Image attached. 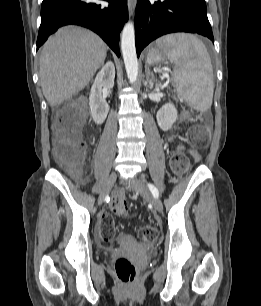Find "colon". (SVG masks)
Masks as SVG:
<instances>
[{"instance_id": "obj_1", "label": "colon", "mask_w": 261, "mask_h": 306, "mask_svg": "<svg viewBox=\"0 0 261 306\" xmlns=\"http://www.w3.org/2000/svg\"><path fill=\"white\" fill-rule=\"evenodd\" d=\"M85 120L82 107L77 104L63 106L54 119V154L58 163L75 175L82 172V164L85 156V143L82 140L81 129ZM189 143L196 149H204L210 140V131L206 124H196L188 130ZM191 162L186 151L182 147L175 149L170 158V167L177 175L185 174L190 168ZM110 206L118 215H125L128 210L124 195L115 196ZM99 232L103 242L110 243L115 238V222L112 214L104 213L99 221ZM158 229L153 225H147L140 229L139 237L145 242H155L158 238ZM114 271L117 277L125 283H131L136 279L137 268L132 261L120 257L114 263Z\"/></svg>"}]
</instances>
